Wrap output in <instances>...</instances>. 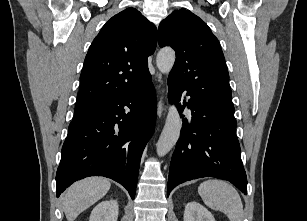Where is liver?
<instances>
[{
    "label": "liver",
    "mask_w": 307,
    "mask_h": 221,
    "mask_svg": "<svg viewBox=\"0 0 307 221\" xmlns=\"http://www.w3.org/2000/svg\"><path fill=\"white\" fill-rule=\"evenodd\" d=\"M111 187L102 177H89L71 185L62 197V208L68 221H74L84 210L103 198Z\"/></svg>",
    "instance_id": "1"
}]
</instances>
